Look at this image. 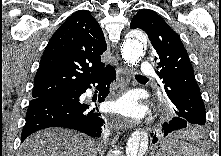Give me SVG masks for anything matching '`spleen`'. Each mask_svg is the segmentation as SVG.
Returning <instances> with one entry per match:
<instances>
[{"mask_svg": "<svg viewBox=\"0 0 221 156\" xmlns=\"http://www.w3.org/2000/svg\"><path fill=\"white\" fill-rule=\"evenodd\" d=\"M168 144L173 146L180 155L183 156H202L203 152L198 148L180 140L168 141Z\"/></svg>", "mask_w": 221, "mask_h": 156, "instance_id": "3e777b00", "label": "spleen"}]
</instances>
